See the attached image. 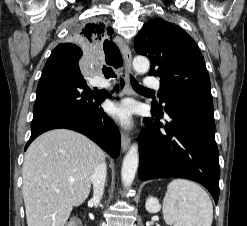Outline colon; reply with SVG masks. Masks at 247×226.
Returning <instances> with one entry per match:
<instances>
[{"instance_id": "obj_1", "label": "colon", "mask_w": 247, "mask_h": 226, "mask_svg": "<svg viewBox=\"0 0 247 226\" xmlns=\"http://www.w3.org/2000/svg\"><path fill=\"white\" fill-rule=\"evenodd\" d=\"M65 226H82V223L78 218L71 217L66 221Z\"/></svg>"}]
</instances>
